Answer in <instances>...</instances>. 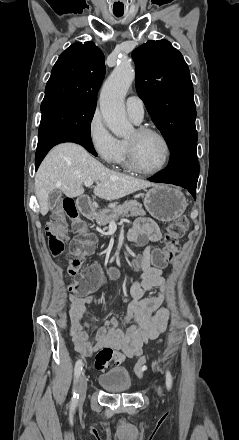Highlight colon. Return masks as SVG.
<instances>
[{"mask_svg": "<svg viewBox=\"0 0 239 440\" xmlns=\"http://www.w3.org/2000/svg\"><path fill=\"white\" fill-rule=\"evenodd\" d=\"M65 218L73 222V230L77 234L68 255L67 273L72 277H77L75 289L79 293L86 292L89 288L100 285L105 277L98 266H89L82 270L86 257L93 251V237L86 230L83 219L79 216L74 201L70 198L65 199L64 203L55 215L54 219L47 225L46 236L49 247L54 255L61 254L65 249L66 235L63 229ZM188 219L181 216L174 220L167 228L165 236V246L156 249L152 253L151 262L153 266L163 267L172 259L178 245V240L185 234L188 228ZM110 277L116 276L115 271H111ZM150 356L140 358L135 366V372L143 376L145 364ZM115 359V354L110 349L100 350L95 357V367L98 370L111 365Z\"/></svg>", "mask_w": 239, "mask_h": 440, "instance_id": "5ec220e1", "label": "colon"}]
</instances>
